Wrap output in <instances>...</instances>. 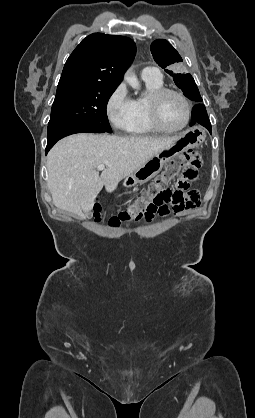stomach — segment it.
Masks as SVG:
<instances>
[{
    "mask_svg": "<svg viewBox=\"0 0 255 418\" xmlns=\"http://www.w3.org/2000/svg\"><path fill=\"white\" fill-rule=\"evenodd\" d=\"M205 140V133L199 127H193L184 131L179 139L168 149L154 155L141 167L125 178V186L144 184L154 178L163 168L164 164L174 156L187 149L197 147Z\"/></svg>",
    "mask_w": 255,
    "mask_h": 418,
    "instance_id": "stomach-1",
    "label": "stomach"
}]
</instances>
